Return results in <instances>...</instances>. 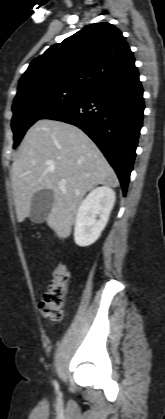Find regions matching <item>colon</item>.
I'll return each mask as SVG.
<instances>
[{
    "label": "colon",
    "instance_id": "obj_1",
    "mask_svg": "<svg viewBox=\"0 0 165 419\" xmlns=\"http://www.w3.org/2000/svg\"><path fill=\"white\" fill-rule=\"evenodd\" d=\"M68 285V269L64 265L60 264L55 268L52 280L39 304L40 312L44 317L53 322H57L62 319Z\"/></svg>",
    "mask_w": 165,
    "mask_h": 419
}]
</instances>
